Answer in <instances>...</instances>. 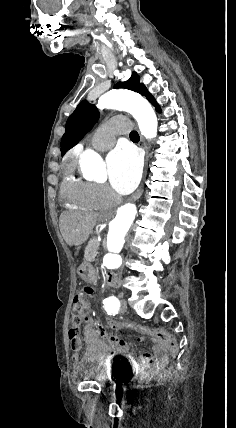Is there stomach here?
<instances>
[{
    "instance_id": "obj_1",
    "label": "stomach",
    "mask_w": 236,
    "mask_h": 428,
    "mask_svg": "<svg viewBox=\"0 0 236 428\" xmlns=\"http://www.w3.org/2000/svg\"><path fill=\"white\" fill-rule=\"evenodd\" d=\"M78 276L83 279V283L86 286L94 287L99 282V275L95 274V267L89 260L80 265Z\"/></svg>"
}]
</instances>
